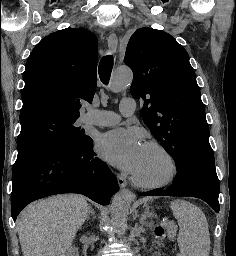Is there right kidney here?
<instances>
[{
    "label": "right kidney",
    "mask_w": 236,
    "mask_h": 256,
    "mask_svg": "<svg viewBox=\"0 0 236 256\" xmlns=\"http://www.w3.org/2000/svg\"><path fill=\"white\" fill-rule=\"evenodd\" d=\"M75 252H76V250H71L72 256H75Z\"/></svg>",
    "instance_id": "obj_1"
}]
</instances>
